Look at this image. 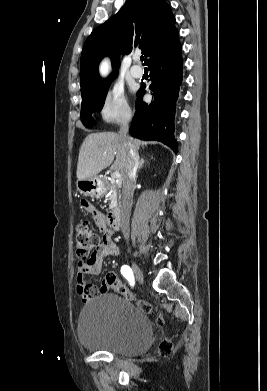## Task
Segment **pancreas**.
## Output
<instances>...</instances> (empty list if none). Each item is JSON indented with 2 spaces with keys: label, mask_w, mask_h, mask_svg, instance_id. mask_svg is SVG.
I'll list each match as a JSON object with an SVG mask.
<instances>
[{
  "label": "pancreas",
  "mask_w": 267,
  "mask_h": 391,
  "mask_svg": "<svg viewBox=\"0 0 267 391\" xmlns=\"http://www.w3.org/2000/svg\"><path fill=\"white\" fill-rule=\"evenodd\" d=\"M107 190L111 193L110 194V200L112 201L111 203V209L118 207L119 205V200L121 198L120 194V187H121V182H116L113 178L108 181L107 179H103Z\"/></svg>",
  "instance_id": "1"
}]
</instances>
